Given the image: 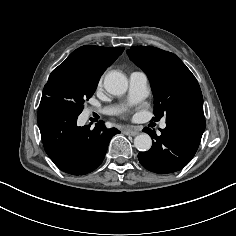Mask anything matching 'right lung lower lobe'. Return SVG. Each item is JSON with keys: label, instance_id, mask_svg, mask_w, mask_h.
Here are the masks:
<instances>
[{"label": "right lung lower lobe", "instance_id": "obj_1", "mask_svg": "<svg viewBox=\"0 0 236 236\" xmlns=\"http://www.w3.org/2000/svg\"><path fill=\"white\" fill-rule=\"evenodd\" d=\"M78 113L65 101L47 97L41 99L37 121L47 155L61 170L71 175H84L103 161L110 139L119 133L97 123L78 127Z\"/></svg>", "mask_w": 236, "mask_h": 236}]
</instances>
